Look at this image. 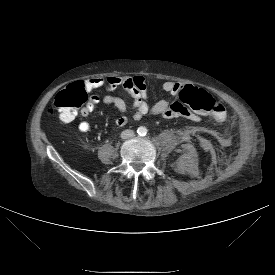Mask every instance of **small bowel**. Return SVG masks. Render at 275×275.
<instances>
[{
  "label": "small bowel",
  "instance_id": "small-bowel-1",
  "mask_svg": "<svg viewBox=\"0 0 275 275\" xmlns=\"http://www.w3.org/2000/svg\"><path fill=\"white\" fill-rule=\"evenodd\" d=\"M151 82V79L140 75L110 76L107 78L96 77L88 79L83 83V87L85 90L93 91L97 89H105L108 94L103 96L98 93L90 95L87 104L83 108L81 114L83 116H87L100 103L112 105L119 111V115L115 120L116 125L119 127L126 125L129 122V118L126 115L127 105L125 100L121 97L110 94L118 88H123L133 98L135 111L132 115V120L134 121L140 120L143 116L147 114L162 115L167 119L185 116L193 121L198 120V117L187 110V108L177 99L179 92L183 86L179 82L166 81L162 85L163 90L175 98L173 101L160 100L154 105L150 106L148 103L147 87L148 84H150ZM77 125L79 130L82 132H88L90 130V124L87 121H80Z\"/></svg>",
  "mask_w": 275,
  "mask_h": 275
}]
</instances>
